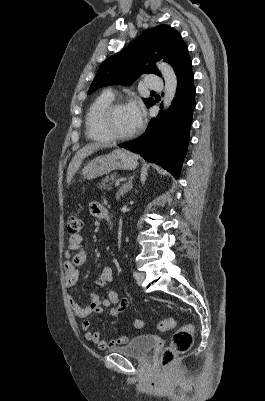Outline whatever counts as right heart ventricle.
<instances>
[{
    "label": "right heart ventricle",
    "instance_id": "obj_1",
    "mask_svg": "<svg viewBox=\"0 0 265 401\" xmlns=\"http://www.w3.org/2000/svg\"><path fill=\"white\" fill-rule=\"evenodd\" d=\"M114 100L110 91H105L97 96L89 105L85 115V126L87 136L95 141H107L105 135L99 130L98 118L102 110Z\"/></svg>",
    "mask_w": 265,
    "mask_h": 401
}]
</instances>
